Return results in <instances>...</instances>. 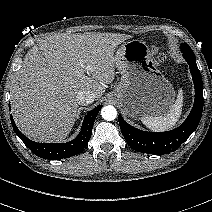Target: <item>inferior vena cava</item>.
Wrapping results in <instances>:
<instances>
[{"label":"inferior vena cava","instance_id":"inferior-vena-cava-1","mask_svg":"<svg viewBox=\"0 0 212 212\" xmlns=\"http://www.w3.org/2000/svg\"><path fill=\"white\" fill-rule=\"evenodd\" d=\"M76 98H77V103L79 105H88L95 100L96 96L94 93H91L86 90H81L77 93Z\"/></svg>","mask_w":212,"mask_h":212}]
</instances>
